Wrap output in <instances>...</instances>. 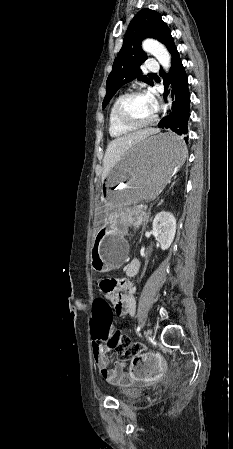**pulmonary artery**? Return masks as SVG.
<instances>
[{"label": "pulmonary artery", "instance_id": "obj_1", "mask_svg": "<svg viewBox=\"0 0 233 449\" xmlns=\"http://www.w3.org/2000/svg\"><path fill=\"white\" fill-rule=\"evenodd\" d=\"M158 68V64L154 60H151L147 63V69L150 71H157Z\"/></svg>", "mask_w": 233, "mask_h": 449}]
</instances>
